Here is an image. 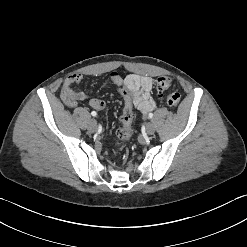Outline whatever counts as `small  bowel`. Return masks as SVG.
I'll use <instances>...</instances> for the list:
<instances>
[{
	"mask_svg": "<svg viewBox=\"0 0 247 247\" xmlns=\"http://www.w3.org/2000/svg\"><path fill=\"white\" fill-rule=\"evenodd\" d=\"M81 79L82 77L79 74H71L65 79L61 89L62 100L70 108L75 107L79 101L89 100L92 108L102 111L105 108V102L103 100L90 98L77 87ZM123 79L131 87L130 92L133 95V108L142 115H146L156 108V102L151 95L153 87V79L151 77L129 74Z\"/></svg>",
	"mask_w": 247,
	"mask_h": 247,
	"instance_id": "1",
	"label": "small bowel"
}]
</instances>
